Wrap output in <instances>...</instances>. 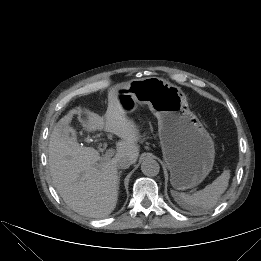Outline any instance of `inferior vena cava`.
I'll return each instance as SVG.
<instances>
[{"instance_id":"obj_1","label":"inferior vena cava","mask_w":261,"mask_h":261,"mask_svg":"<svg viewBox=\"0 0 261 261\" xmlns=\"http://www.w3.org/2000/svg\"><path fill=\"white\" fill-rule=\"evenodd\" d=\"M131 164H132V160L127 156H121L117 160V167L119 169H126L130 167Z\"/></svg>"}]
</instances>
